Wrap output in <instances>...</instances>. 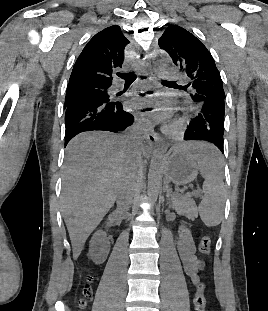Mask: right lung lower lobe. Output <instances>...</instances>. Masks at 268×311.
<instances>
[{"label": "right lung lower lobe", "instance_id": "obj_1", "mask_svg": "<svg viewBox=\"0 0 268 311\" xmlns=\"http://www.w3.org/2000/svg\"><path fill=\"white\" fill-rule=\"evenodd\" d=\"M134 117L121 102H89L74 100L65 106V146L77 134L102 130L118 132L132 125Z\"/></svg>", "mask_w": 268, "mask_h": 311}]
</instances>
